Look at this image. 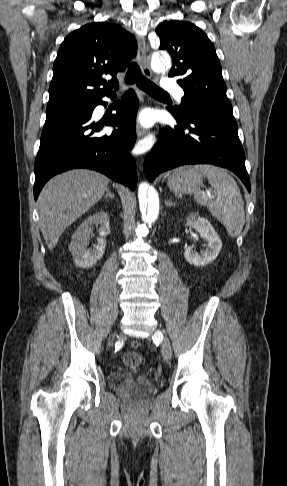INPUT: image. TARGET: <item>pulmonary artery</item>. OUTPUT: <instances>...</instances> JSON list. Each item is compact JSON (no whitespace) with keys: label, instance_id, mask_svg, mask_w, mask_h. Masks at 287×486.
Segmentation results:
<instances>
[{"label":"pulmonary artery","instance_id":"pulmonary-artery-1","mask_svg":"<svg viewBox=\"0 0 287 486\" xmlns=\"http://www.w3.org/2000/svg\"><path fill=\"white\" fill-rule=\"evenodd\" d=\"M161 86L165 92L174 93L177 95L179 99H181L184 95V92L181 89V87L177 84L175 80L171 78H164Z\"/></svg>","mask_w":287,"mask_h":486}]
</instances>
